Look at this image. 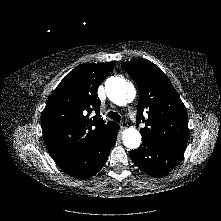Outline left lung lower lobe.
I'll return each mask as SVG.
<instances>
[{"label": "left lung lower lobe", "instance_id": "1", "mask_svg": "<svg viewBox=\"0 0 221 221\" xmlns=\"http://www.w3.org/2000/svg\"><path fill=\"white\" fill-rule=\"evenodd\" d=\"M183 154L184 151L142 137L141 146L132 150L130 157L138 168L153 177H160L175 168Z\"/></svg>", "mask_w": 221, "mask_h": 221}]
</instances>
